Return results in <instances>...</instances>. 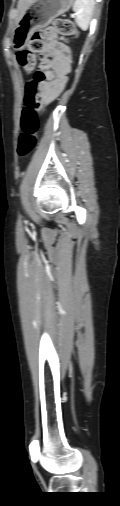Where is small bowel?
<instances>
[{"mask_svg": "<svg viewBox=\"0 0 120 506\" xmlns=\"http://www.w3.org/2000/svg\"><path fill=\"white\" fill-rule=\"evenodd\" d=\"M44 38L46 40V48L53 49L56 56L53 60H43L41 67H52L58 72L56 79L40 84L42 102L44 105H47L53 102L65 88L67 83L66 74L71 67V54L69 48L57 40V33L53 28H48L44 31Z\"/></svg>", "mask_w": 120, "mask_h": 506, "instance_id": "obj_1", "label": "small bowel"}]
</instances>
